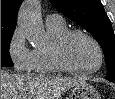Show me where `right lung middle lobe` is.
Here are the masks:
<instances>
[{
    "label": "right lung middle lobe",
    "instance_id": "1",
    "mask_svg": "<svg viewBox=\"0 0 115 99\" xmlns=\"http://www.w3.org/2000/svg\"><path fill=\"white\" fill-rule=\"evenodd\" d=\"M14 31H1V67H11L9 47Z\"/></svg>",
    "mask_w": 115,
    "mask_h": 99
}]
</instances>
